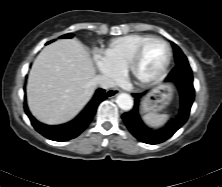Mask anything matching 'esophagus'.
I'll return each mask as SVG.
<instances>
[{"instance_id":"1","label":"esophagus","mask_w":222,"mask_h":187,"mask_svg":"<svg viewBox=\"0 0 222 187\" xmlns=\"http://www.w3.org/2000/svg\"><path fill=\"white\" fill-rule=\"evenodd\" d=\"M120 93V90L117 89V88H114V89H108L106 91V96L108 98H112V97H115L116 95H118Z\"/></svg>"}]
</instances>
